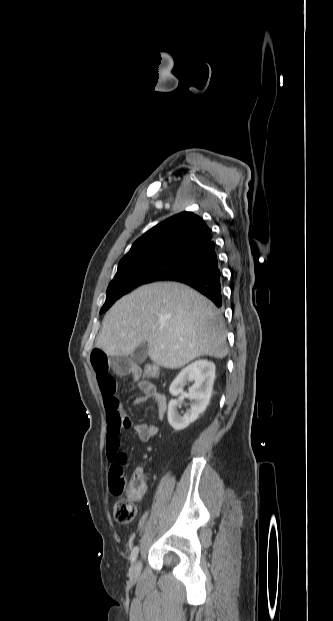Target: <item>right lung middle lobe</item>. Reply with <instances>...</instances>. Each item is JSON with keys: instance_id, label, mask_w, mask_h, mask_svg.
<instances>
[{"instance_id": "obj_1", "label": "right lung middle lobe", "mask_w": 333, "mask_h": 621, "mask_svg": "<svg viewBox=\"0 0 333 621\" xmlns=\"http://www.w3.org/2000/svg\"><path fill=\"white\" fill-rule=\"evenodd\" d=\"M185 258L162 257L118 264V271L110 282L106 301L100 313L108 310L116 300L134 288L159 280L174 272Z\"/></svg>"}]
</instances>
